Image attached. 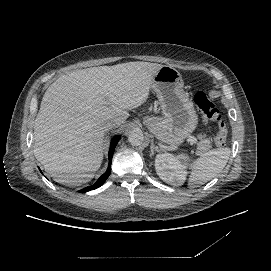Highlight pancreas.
I'll use <instances>...</instances> for the list:
<instances>
[{
  "label": "pancreas",
  "instance_id": "pancreas-1",
  "mask_svg": "<svg viewBox=\"0 0 271 271\" xmlns=\"http://www.w3.org/2000/svg\"><path fill=\"white\" fill-rule=\"evenodd\" d=\"M200 139H203V136H200L199 137ZM212 146H211V141L209 139H204L203 141H201L199 144H198V150H197V153L198 154H201L205 151H207L208 149H210Z\"/></svg>",
  "mask_w": 271,
  "mask_h": 271
}]
</instances>
